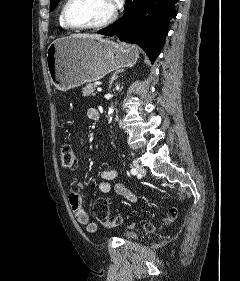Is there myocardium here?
Returning a JSON list of instances; mask_svg holds the SVG:
<instances>
[{
	"mask_svg": "<svg viewBox=\"0 0 240 281\" xmlns=\"http://www.w3.org/2000/svg\"><path fill=\"white\" fill-rule=\"evenodd\" d=\"M72 1L73 0H66L65 4L63 5L62 11H61L63 22L70 29L90 30V29L102 28V27H105V26L109 25L110 23H112L117 16V11L114 8L113 12L109 15V17H107L106 19H104L100 22L93 23V24H76V23L72 22L68 16V8H69L70 4L72 3Z\"/></svg>",
	"mask_w": 240,
	"mask_h": 281,
	"instance_id": "f54148a6",
	"label": "myocardium"
}]
</instances>
